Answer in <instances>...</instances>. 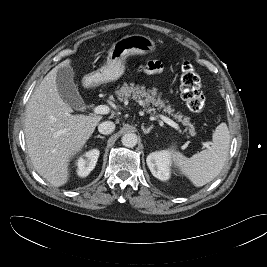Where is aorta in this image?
I'll list each match as a JSON object with an SVG mask.
<instances>
[{
    "label": "aorta",
    "instance_id": "1",
    "mask_svg": "<svg viewBox=\"0 0 267 267\" xmlns=\"http://www.w3.org/2000/svg\"><path fill=\"white\" fill-rule=\"evenodd\" d=\"M137 135L134 133H126L122 136L121 142L125 147L132 148L137 144Z\"/></svg>",
    "mask_w": 267,
    "mask_h": 267
}]
</instances>
